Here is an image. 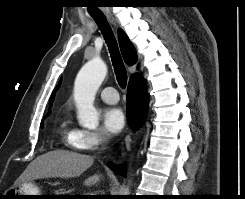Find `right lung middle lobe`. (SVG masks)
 Returning a JSON list of instances; mask_svg holds the SVG:
<instances>
[{
    "label": "right lung middle lobe",
    "mask_w": 245,
    "mask_h": 199,
    "mask_svg": "<svg viewBox=\"0 0 245 199\" xmlns=\"http://www.w3.org/2000/svg\"><path fill=\"white\" fill-rule=\"evenodd\" d=\"M47 116H49V115H47ZM47 116H45L43 119H45Z\"/></svg>",
    "instance_id": "1"
}]
</instances>
